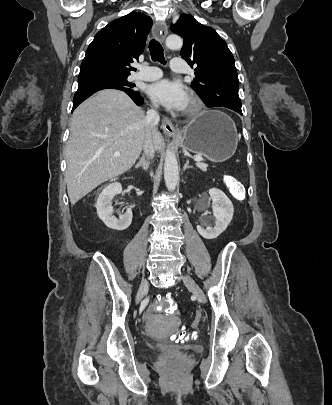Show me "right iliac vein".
I'll return each mask as SVG.
<instances>
[{
    "instance_id": "63e3f726",
    "label": "right iliac vein",
    "mask_w": 332,
    "mask_h": 405,
    "mask_svg": "<svg viewBox=\"0 0 332 405\" xmlns=\"http://www.w3.org/2000/svg\"><path fill=\"white\" fill-rule=\"evenodd\" d=\"M148 285H149L148 280H143L141 282V285L139 287V290H138V293H137V296H136V302L137 303H139L141 301V299L143 298L144 293L148 289Z\"/></svg>"
}]
</instances>
